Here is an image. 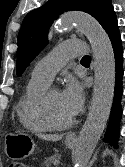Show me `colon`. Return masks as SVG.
<instances>
[{
    "mask_svg": "<svg viewBox=\"0 0 125 167\" xmlns=\"http://www.w3.org/2000/svg\"><path fill=\"white\" fill-rule=\"evenodd\" d=\"M8 167H27V166L25 163H23L21 161H14V162L10 163Z\"/></svg>",
    "mask_w": 125,
    "mask_h": 167,
    "instance_id": "1",
    "label": "colon"
}]
</instances>
